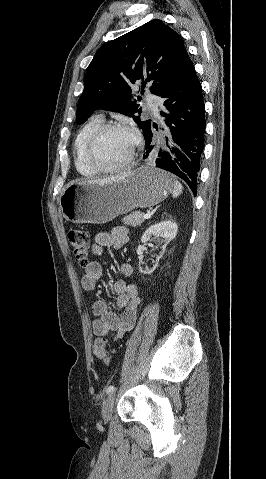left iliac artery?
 I'll return each mask as SVG.
<instances>
[{"instance_id":"44dca946","label":"left iliac artery","mask_w":266,"mask_h":479,"mask_svg":"<svg viewBox=\"0 0 266 479\" xmlns=\"http://www.w3.org/2000/svg\"><path fill=\"white\" fill-rule=\"evenodd\" d=\"M116 387L114 385H110L108 388H107V394H111L115 391Z\"/></svg>"}]
</instances>
